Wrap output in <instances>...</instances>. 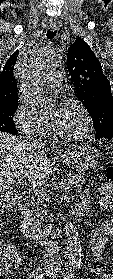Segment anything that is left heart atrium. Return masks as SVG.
Returning <instances> with one entry per match:
<instances>
[{"instance_id":"1","label":"left heart atrium","mask_w":113,"mask_h":279,"mask_svg":"<svg viewBox=\"0 0 113 279\" xmlns=\"http://www.w3.org/2000/svg\"><path fill=\"white\" fill-rule=\"evenodd\" d=\"M61 111H62V109H59V110H58V113L60 114Z\"/></svg>"}]
</instances>
